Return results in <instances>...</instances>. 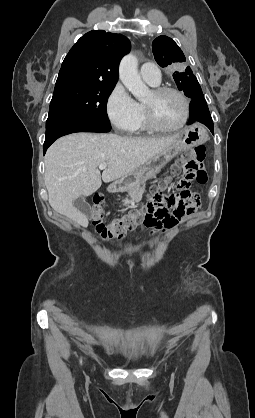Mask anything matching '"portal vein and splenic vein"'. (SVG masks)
<instances>
[{"label":"portal vein and splenic vein","instance_id":"18ae733b","mask_svg":"<svg viewBox=\"0 0 255 418\" xmlns=\"http://www.w3.org/2000/svg\"><path fill=\"white\" fill-rule=\"evenodd\" d=\"M106 167H107L106 163H102V164L99 165L100 170H104Z\"/></svg>","mask_w":255,"mask_h":418}]
</instances>
